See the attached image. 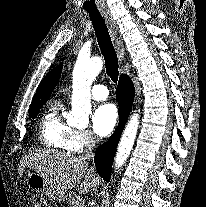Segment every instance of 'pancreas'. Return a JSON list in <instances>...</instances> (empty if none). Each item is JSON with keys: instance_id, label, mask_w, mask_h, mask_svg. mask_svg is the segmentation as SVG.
<instances>
[{"instance_id": "obj_1", "label": "pancreas", "mask_w": 206, "mask_h": 207, "mask_svg": "<svg viewBox=\"0 0 206 207\" xmlns=\"http://www.w3.org/2000/svg\"><path fill=\"white\" fill-rule=\"evenodd\" d=\"M69 207H84V203L79 196L77 195L70 196Z\"/></svg>"}]
</instances>
